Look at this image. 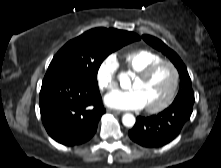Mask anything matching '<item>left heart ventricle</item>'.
I'll list each match as a JSON object with an SVG mask.
<instances>
[{
    "label": "left heart ventricle",
    "instance_id": "b2bd125f",
    "mask_svg": "<svg viewBox=\"0 0 221 168\" xmlns=\"http://www.w3.org/2000/svg\"><path fill=\"white\" fill-rule=\"evenodd\" d=\"M172 84V69L163 65L146 80L135 77L131 87L140 92L145 106H156L166 99Z\"/></svg>",
    "mask_w": 221,
    "mask_h": 168
}]
</instances>
